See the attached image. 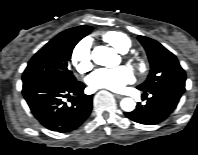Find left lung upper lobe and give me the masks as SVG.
Here are the masks:
<instances>
[{"label": "left lung upper lobe", "instance_id": "1", "mask_svg": "<svg viewBox=\"0 0 198 155\" xmlns=\"http://www.w3.org/2000/svg\"><path fill=\"white\" fill-rule=\"evenodd\" d=\"M138 40L147 52L151 70L147 80L137 88L146 92L165 85L185 88L186 74L176 56L151 38L139 36Z\"/></svg>", "mask_w": 198, "mask_h": 155}]
</instances>
